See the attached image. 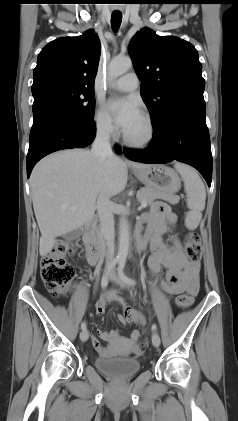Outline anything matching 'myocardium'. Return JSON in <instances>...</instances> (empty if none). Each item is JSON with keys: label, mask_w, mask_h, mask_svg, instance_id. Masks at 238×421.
<instances>
[{"label": "myocardium", "mask_w": 238, "mask_h": 421, "mask_svg": "<svg viewBox=\"0 0 238 421\" xmlns=\"http://www.w3.org/2000/svg\"><path fill=\"white\" fill-rule=\"evenodd\" d=\"M141 116L144 119L147 126V135L144 139L132 140L126 135L124 131L122 132V138H123L124 143L127 146L131 148H135V149H146L153 144L154 139H155V126H154V122L151 116L146 112H142Z\"/></svg>", "instance_id": "1"}]
</instances>
